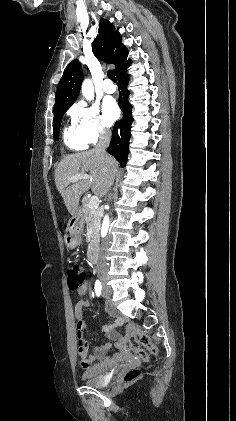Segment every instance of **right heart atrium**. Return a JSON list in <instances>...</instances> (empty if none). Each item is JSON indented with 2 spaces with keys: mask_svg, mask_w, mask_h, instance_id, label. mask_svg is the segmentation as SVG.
Masks as SVG:
<instances>
[{
  "mask_svg": "<svg viewBox=\"0 0 236 421\" xmlns=\"http://www.w3.org/2000/svg\"><path fill=\"white\" fill-rule=\"evenodd\" d=\"M70 115L72 125L88 144H95L110 134L104 117L95 105L81 101L73 106Z\"/></svg>",
  "mask_w": 236,
  "mask_h": 421,
  "instance_id": "1",
  "label": "right heart atrium"
}]
</instances>
